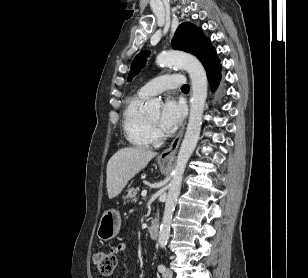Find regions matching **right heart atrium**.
Segmentation results:
<instances>
[{"mask_svg": "<svg viewBox=\"0 0 308 278\" xmlns=\"http://www.w3.org/2000/svg\"><path fill=\"white\" fill-rule=\"evenodd\" d=\"M160 138V132L156 127H152V139L153 142H157Z\"/></svg>", "mask_w": 308, "mask_h": 278, "instance_id": "1", "label": "right heart atrium"}]
</instances>
